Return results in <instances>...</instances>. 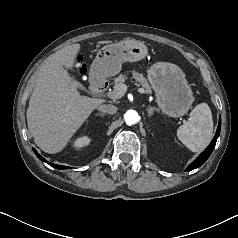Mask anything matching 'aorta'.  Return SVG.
<instances>
[{"mask_svg":"<svg viewBox=\"0 0 238 238\" xmlns=\"http://www.w3.org/2000/svg\"><path fill=\"white\" fill-rule=\"evenodd\" d=\"M138 113L135 110H128L124 114V120L127 125H134L138 122Z\"/></svg>","mask_w":238,"mask_h":238,"instance_id":"aorta-1","label":"aorta"}]
</instances>
